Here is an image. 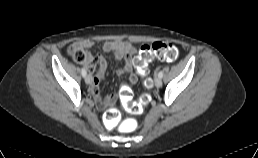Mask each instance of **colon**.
Masks as SVG:
<instances>
[{
  "label": "colon",
  "instance_id": "1",
  "mask_svg": "<svg viewBox=\"0 0 258 158\" xmlns=\"http://www.w3.org/2000/svg\"><path fill=\"white\" fill-rule=\"evenodd\" d=\"M69 54L78 63H85L90 59V55L82 48L72 46L69 48ZM179 51L171 42L157 41L152 44L141 46L138 56L133 59V63L137 72L144 77L145 91L141 95L140 100L136 103L132 102V92L129 88L123 87L120 91V98L124 107L133 114L143 112L146 105L149 103L150 97L148 90L151 88V79L148 77V64L153 58L161 61H174L177 59ZM106 119L112 125H117L120 121L119 114L116 109L112 108L106 113Z\"/></svg>",
  "mask_w": 258,
  "mask_h": 158
}]
</instances>
